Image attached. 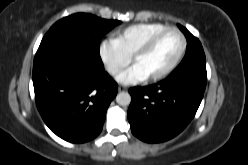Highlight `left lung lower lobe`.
I'll use <instances>...</instances> for the list:
<instances>
[{"label":"left lung lower lobe","mask_w":248,"mask_h":165,"mask_svg":"<svg viewBox=\"0 0 248 165\" xmlns=\"http://www.w3.org/2000/svg\"><path fill=\"white\" fill-rule=\"evenodd\" d=\"M207 83L206 63L170 74L157 84L129 89L132 133L148 143L178 135L194 117Z\"/></svg>","instance_id":"left-lung-lower-lobe-1"}]
</instances>
